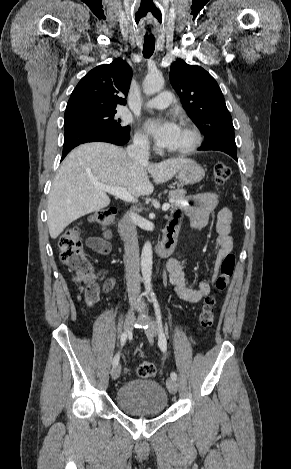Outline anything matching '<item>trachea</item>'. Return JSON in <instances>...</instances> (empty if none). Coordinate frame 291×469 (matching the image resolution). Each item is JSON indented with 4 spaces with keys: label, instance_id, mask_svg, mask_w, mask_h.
Listing matches in <instances>:
<instances>
[{
    "label": "trachea",
    "instance_id": "obj_1",
    "mask_svg": "<svg viewBox=\"0 0 291 469\" xmlns=\"http://www.w3.org/2000/svg\"><path fill=\"white\" fill-rule=\"evenodd\" d=\"M155 49V39L153 37L144 38L143 56L150 58Z\"/></svg>",
    "mask_w": 291,
    "mask_h": 469
}]
</instances>
